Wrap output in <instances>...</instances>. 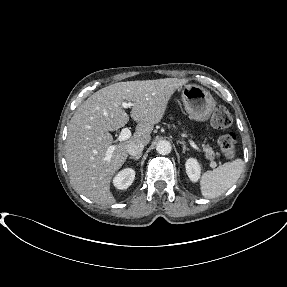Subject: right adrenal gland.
Here are the masks:
<instances>
[{
  "instance_id": "2a0ac1e0",
  "label": "right adrenal gland",
  "mask_w": 287,
  "mask_h": 287,
  "mask_svg": "<svg viewBox=\"0 0 287 287\" xmlns=\"http://www.w3.org/2000/svg\"><path fill=\"white\" fill-rule=\"evenodd\" d=\"M141 154L140 155H138V156H136V157H129V159H131V160H139L140 158H141Z\"/></svg>"
}]
</instances>
